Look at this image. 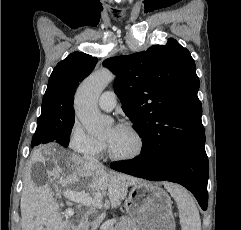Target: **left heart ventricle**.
<instances>
[{"label":"left heart ventricle","mask_w":241,"mask_h":230,"mask_svg":"<svg viewBox=\"0 0 241 230\" xmlns=\"http://www.w3.org/2000/svg\"><path fill=\"white\" fill-rule=\"evenodd\" d=\"M103 140L109 145L111 151L119 156L133 153L137 142L133 134L125 127H110Z\"/></svg>","instance_id":"1"}]
</instances>
